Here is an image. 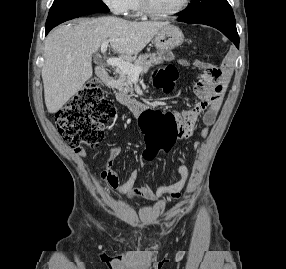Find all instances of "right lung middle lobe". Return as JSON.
I'll return each mask as SVG.
<instances>
[{
  "label": "right lung middle lobe",
  "instance_id": "obj_1",
  "mask_svg": "<svg viewBox=\"0 0 286 269\" xmlns=\"http://www.w3.org/2000/svg\"><path fill=\"white\" fill-rule=\"evenodd\" d=\"M102 0H54L45 28H53L67 20L97 12H108Z\"/></svg>",
  "mask_w": 286,
  "mask_h": 269
}]
</instances>
